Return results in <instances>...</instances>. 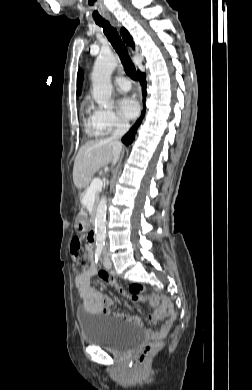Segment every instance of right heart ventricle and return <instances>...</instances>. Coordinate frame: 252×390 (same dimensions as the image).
Instances as JSON below:
<instances>
[{"instance_id":"e07e8e85","label":"right heart ventricle","mask_w":252,"mask_h":390,"mask_svg":"<svg viewBox=\"0 0 252 390\" xmlns=\"http://www.w3.org/2000/svg\"><path fill=\"white\" fill-rule=\"evenodd\" d=\"M86 132L88 135H93L95 134L94 131H93V128H92V120H91V117L87 119L86 121ZM97 135V134H95Z\"/></svg>"}]
</instances>
